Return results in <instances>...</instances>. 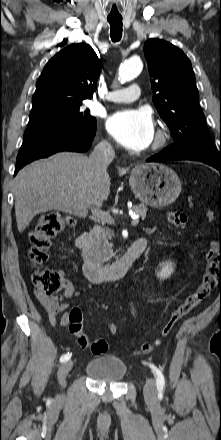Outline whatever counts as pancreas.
Masks as SVG:
<instances>
[{"mask_svg": "<svg viewBox=\"0 0 221 440\" xmlns=\"http://www.w3.org/2000/svg\"><path fill=\"white\" fill-rule=\"evenodd\" d=\"M132 211L141 218L146 217L147 207L144 204H139L137 206L132 207ZM112 236V232L108 228H103L99 225H96L92 231L89 233L90 243L83 251V257L85 259H106L113 256V252L111 250L112 244H109L107 238ZM100 243H103L104 249L100 246ZM103 255L106 258H103Z\"/></svg>", "mask_w": 221, "mask_h": 440, "instance_id": "pancreas-1", "label": "pancreas"}]
</instances>
